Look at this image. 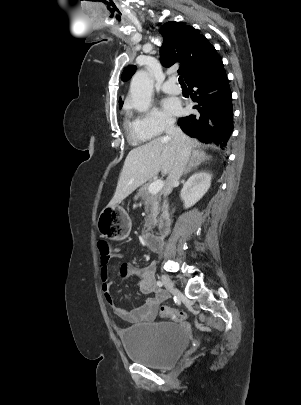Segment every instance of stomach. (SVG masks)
<instances>
[{"label":"stomach","instance_id":"0dacf381","mask_svg":"<svg viewBox=\"0 0 301 405\" xmlns=\"http://www.w3.org/2000/svg\"><path fill=\"white\" fill-rule=\"evenodd\" d=\"M97 228L103 237L121 241L126 239L131 231V220L127 212L120 206H107L97 220Z\"/></svg>","mask_w":301,"mask_h":405}]
</instances>
